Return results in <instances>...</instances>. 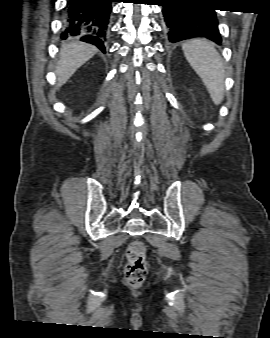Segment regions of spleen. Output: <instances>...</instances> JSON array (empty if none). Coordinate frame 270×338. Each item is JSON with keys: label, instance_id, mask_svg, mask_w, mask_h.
<instances>
[{"label": "spleen", "instance_id": "1", "mask_svg": "<svg viewBox=\"0 0 270 338\" xmlns=\"http://www.w3.org/2000/svg\"><path fill=\"white\" fill-rule=\"evenodd\" d=\"M184 55L206 86L213 102L224 98L225 71L223 61L213 44L205 39H193L182 45Z\"/></svg>", "mask_w": 270, "mask_h": 338}]
</instances>
